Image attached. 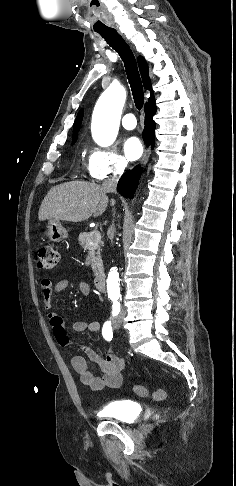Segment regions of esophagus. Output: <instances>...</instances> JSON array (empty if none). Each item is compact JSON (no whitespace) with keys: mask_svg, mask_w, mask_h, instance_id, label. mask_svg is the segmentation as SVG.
Masks as SVG:
<instances>
[{"mask_svg":"<svg viewBox=\"0 0 236 486\" xmlns=\"http://www.w3.org/2000/svg\"><path fill=\"white\" fill-rule=\"evenodd\" d=\"M149 154H150V150L149 149L145 150V152H144V154H143V156H142V158L140 160V165H143V164L146 163V161H147V159L149 157Z\"/></svg>","mask_w":236,"mask_h":486,"instance_id":"esophagus-1","label":"esophagus"}]
</instances>
